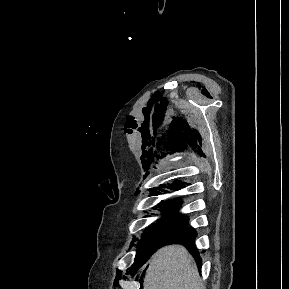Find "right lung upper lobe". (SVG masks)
Masks as SVG:
<instances>
[{"label":"right lung upper lobe","instance_id":"obj_1","mask_svg":"<svg viewBox=\"0 0 289 289\" xmlns=\"http://www.w3.org/2000/svg\"><path fill=\"white\" fill-rule=\"evenodd\" d=\"M177 187H181L180 184H177V183H172V184H168V185H163L161 186L160 188H157L159 191L161 192H164V193H169L170 191H174V190H177ZM157 193H159L158 191L156 190H153Z\"/></svg>","mask_w":289,"mask_h":289}]
</instances>
